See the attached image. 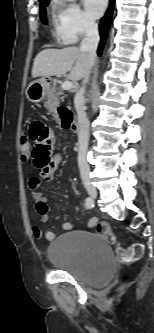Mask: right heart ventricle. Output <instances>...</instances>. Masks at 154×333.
Returning <instances> with one entry per match:
<instances>
[{
    "instance_id": "e07e8e85",
    "label": "right heart ventricle",
    "mask_w": 154,
    "mask_h": 333,
    "mask_svg": "<svg viewBox=\"0 0 154 333\" xmlns=\"http://www.w3.org/2000/svg\"><path fill=\"white\" fill-rule=\"evenodd\" d=\"M53 21L56 24V21H57V5L53 6Z\"/></svg>"
}]
</instances>
